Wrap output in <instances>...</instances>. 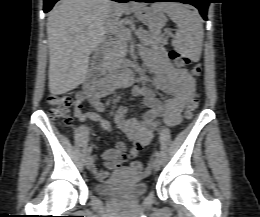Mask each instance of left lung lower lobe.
Masks as SVG:
<instances>
[{
	"mask_svg": "<svg viewBox=\"0 0 260 217\" xmlns=\"http://www.w3.org/2000/svg\"><path fill=\"white\" fill-rule=\"evenodd\" d=\"M137 2H182V3H188L191 5H194L197 7L204 18V20H207L206 14H207V8L210 3V0H132Z\"/></svg>",
	"mask_w": 260,
	"mask_h": 217,
	"instance_id": "obj_1",
	"label": "left lung lower lobe"
}]
</instances>
